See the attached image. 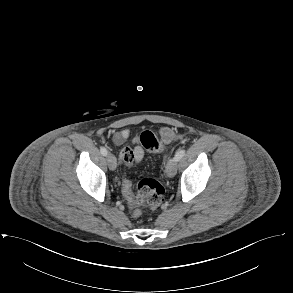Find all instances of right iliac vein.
Segmentation results:
<instances>
[{
	"mask_svg": "<svg viewBox=\"0 0 293 293\" xmlns=\"http://www.w3.org/2000/svg\"><path fill=\"white\" fill-rule=\"evenodd\" d=\"M107 162H108V166H109L110 170L116 169L117 161H116V157L113 154L109 153L107 155Z\"/></svg>",
	"mask_w": 293,
	"mask_h": 293,
	"instance_id": "obj_1",
	"label": "right iliac vein"
}]
</instances>
